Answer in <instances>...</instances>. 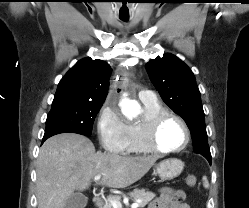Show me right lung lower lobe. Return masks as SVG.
Here are the masks:
<instances>
[{
    "label": "right lung lower lobe",
    "mask_w": 249,
    "mask_h": 208,
    "mask_svg": "<svg viewBox=\"0 0 249 208\" xmlns=\"http://www.w3.org/2000/svg\"><path fill=\"white\" fill-rule=\"evenodd\" d=\"M59 133H62V132L45 133V134H44V137H43V139H42V143H43L46 139H48L49 137H51V136H53V135H56V134H59Z\"/></svg>",
    "instance_id": "obj_1"
}]
</instances>
